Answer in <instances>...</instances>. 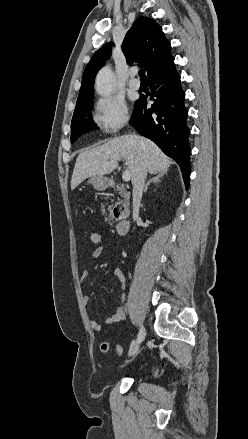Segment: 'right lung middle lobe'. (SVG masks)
Wrapping results in <instances>:
<instances>
[{
	"label": "right lung middle lobe",
	"instance_id": "right-lung-middle-lobe-1",
	"mask_svg": "<svg viewBox=\"0 0 248 439\" xmlns=\"http://www.w3.org/2000/svg\"><path fill=\"white\" fill-rule=\"evenodd\" d=\"M92 108L93 101L91 99L75 109L71 122V143L75 142L84 133L98 129L92 120Z\"/></svg>",
	"mask_w": 248,
	"mask_h": 439
}]
</instances>
